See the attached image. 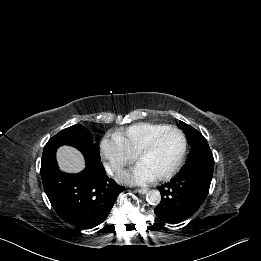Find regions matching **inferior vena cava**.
<instances>
[{
  "label": "inferior vena cava",
  "instance_id": "inferior-vena-cava-1",
  "mask_svg": "<svg viewBox=\"0 0 261 261\" xmlns=\"http://www.w3.org/2000/svg\"><path fill=\"white\" fill-rule=\"evenodd\" d=\"M105 170H106L107 174L113 176L115 173L120 172V167L117 166L116 164H106Z\"/></svg>",
  "mask_w": 261,
  "mask_h": 261
}]
</instances>
